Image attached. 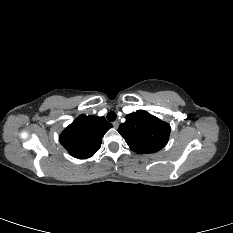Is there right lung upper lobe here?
<instances>
[{
  "label": "right lung upper lobe",
  "mask_w": 233,
  "mask_h": 233,
  "mask_svg": "<svg viewBox=\"0 0 233 233\" xmlns=\"http://www.w3.org/2000/svg\"><path fill=\"white\" fill-rule=\"evenodd\" d=\"M111 127L104 117L80 115L61 133L59 141L73 157L86 159L100 149L102 137Z\"/></svg>",
  "instance_id": "cb5924a9"
}]
</instances>
